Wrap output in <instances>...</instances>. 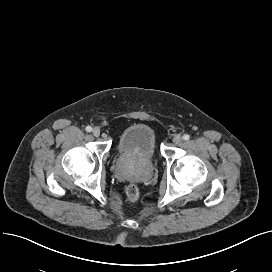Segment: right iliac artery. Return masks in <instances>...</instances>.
<instances>
[{"label":"right iliac artery","instance_id":"right-iliac-artery-1","mask_svg":"<svg viewBox=\"0 0 272 272\" xmlns=\"http://www.w3.org/2000/svg\"><path fill=\"white\" fill-rule=\"evenodd\" d=\"M86 131H87V132H91V131H92V127H91V126H87V127H86Z\"/></svg>","mask_w":272,"mask_h":272}]
</instances>
